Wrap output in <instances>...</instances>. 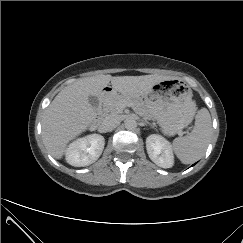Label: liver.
I'll list each match as a JSON object with an SVG mask.
<instances>
[{
  "instance_id": "6515ba94",
  "label": "liver",
  "mask_w": 243,
  "mask_h": 243,
  "mask_svg": "<svg viewBox=\"0 0 243 243\" xmlns=\"http://www.w3.org/2000/svg\"><path fill=\"white\" fill-rule=\"evenodd\" d=\"M169 79L162 75H98L77 80L65 87L45 110L42 139L46 149L56 159L63 157L67 144L86 131L97 115L89 96H102L110 81L112 94L119 92L125 97L140 98L156 84Z\"/></svg>"
}]
</instances>
